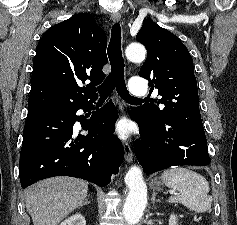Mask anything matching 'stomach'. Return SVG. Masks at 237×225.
Here are the masks:
<instances>
[{
  "label": "stomach",
  "instance_id": "0dacf381",
  "mask_svg": "<svg viewBox=\"0 0 237 225\" xmlns=\"http://www.w3.org/2000/svg\"><path fill=\"white\" fill-rule=\"evenodd\" d=\"M152 186L156 190H161V188L163 186V182L161 180H159V179H154L152 181Z\"/></svg>",
  "mask_w": 237,
  "mask_h": 225
}]
</instances>
